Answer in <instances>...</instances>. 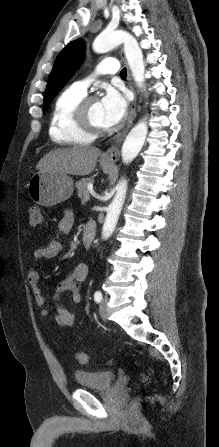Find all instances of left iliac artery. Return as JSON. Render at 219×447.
<instances>
[{
  "mask_svg": "<svg viewBox=\"0 0 219 447\" xmlns=\"http://www.w3.org/2000/svg\"><path fill=\"white\" fill-rule=\"evenodd\" d=\"M94 300H95L97 303H100V302H101V300H102V293H101L100 291H96V292H95V294H94Z\"/></svg>",
  "mask_w": 219,
  "mask_h": 447,
  "instance_id": "44dca946",
  "label": "left iliac artery"
}]
</instances>
